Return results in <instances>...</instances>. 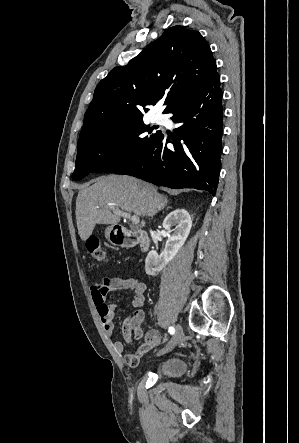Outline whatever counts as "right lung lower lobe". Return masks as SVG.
Returning <instances> with one entry per match:
<instances>
[{
    "mask_svg": "<svg viewBox=\"0 0 299 443\" xmlns=\"http://www.w3.org/2000/svg\"><path fill=\"white\" fill-rule=\"evenodd\" d=\"M222 97L217 74L167 112L180 125L173 135L165 138L160 133L145 153L114 173L158 186L196 188L215 195L222 148ZM165 142L173 147L168 148Z\"/></svg>",
    "mask_w": 299,
    "mask_h": 443,
    "instance_id": "98d812e1",
    "label": "right lung lower lobe"
}]
</instances>
